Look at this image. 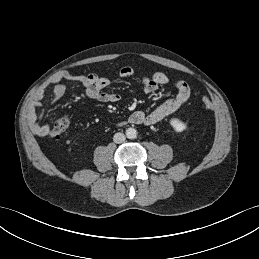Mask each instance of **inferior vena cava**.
Returning <instances> with one entry per match:
<instances>
[{"label": "inferior vena cava", "mask_w": 259, "mask_h": 259, "mask_svg": "<svg viewBox=\"0 0 259 259\" xmlns=\"http://www.w3.org/2000/svg\"><path fill=\"white\" fill-rule=\"evenodd\" d=\"M125 139H126L125 135L123 133H120V132L116 133L113 137L114 142L117 143V144L125 142Z\"/></svg>", "instance_id": "602c4592"}]
</instances>
